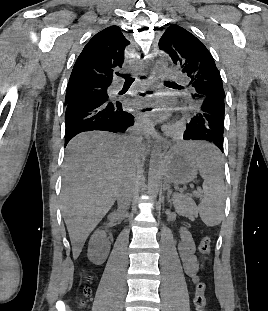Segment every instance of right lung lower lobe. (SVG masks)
<instances>
[{
  "label": "right lung lower lobe",
  "instance_id": "right-lung-lower-lobe-1",
  "mask_svg": "<svg viewBox=\"0 0 268 311\" xmlns=\"http://www.w3.org/2000/svg\"><path fill=\"white\" fill-rule=\"evenodd\" d=\"M133 124L134 116L123 110L118 101L71 99L66 104L65 146L81 132H125Z\"/></svg>",
  "mask_w": 268,
  "mask_h": 311
}]
</instances>
